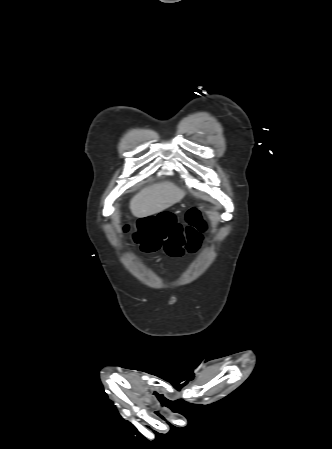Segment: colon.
I'll use <instances>...</instances> for the list:
<instances>
[{
	"label": "colon",
	"mask_w": 332,
	"mask_h": 449,
	"mask_svg": "<svg viewBox=\"0 0 332 449\" xmlns=\"http://www.w3.org/2000/svg\"><path fill=\"white\" fill-rule=\"evenodd\" d=\"M122 230L130 233V227L124 224ZM206 230L200 209L194 206L186 213V224L175 221L168 212L142 218L132 233V239L143 252L152 253L161 249L170 257H180L195 252L201 243L202 233Z\"/></svg>",
	"instance_id": "1"
}]
</instances>
